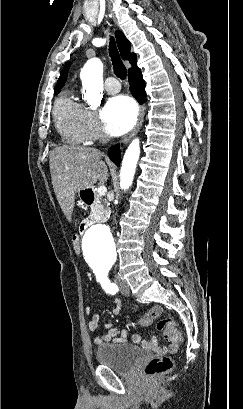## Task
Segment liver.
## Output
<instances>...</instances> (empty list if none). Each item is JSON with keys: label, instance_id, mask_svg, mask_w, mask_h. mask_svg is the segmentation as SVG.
Listing matches in <instances>:
<instances>
[{"label": "liver", "instance_id": "6515ba94", "mask_svg": "<svg viewBox=\"0 0 243 409\" xmlns=\"http://www.w3.org/2000/svg\"><path fill=\"white\" fill-rule=\"evenodd\" d=\"M103 154L90 147L60 146L50 152L49 165L52 185L59 205L69 222L75 204V194L108 179Z\"/></svg>", "mask_w": 243, "mask_h": 409}]
</instances>
